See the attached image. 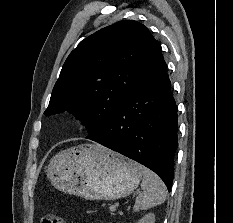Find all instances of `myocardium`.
<instances>
[{
  "instance_id": "myocardium-1",
  "label": "myocardium",
  "mask_w": 233,
  "mask_h": 223,
  "mask_svg": "<svg viewBox=\"0 0 233 223\" xmlns=\"http://www.w3.org/2000/svg\"><path fill=\"white\" fill-rule=\"evenodd\" d=\"M80 116L77 115V114H71V115H68L66 120H65V123L67 126H75L77 125L79 122H80Z\"/></svg>"
}]
</instances>
